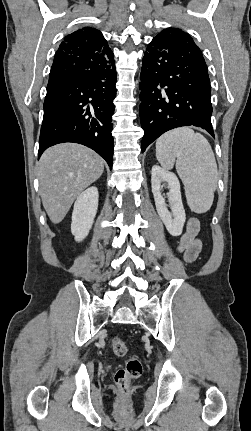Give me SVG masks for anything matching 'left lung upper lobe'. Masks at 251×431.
<instances>
[{
	"instance_id": "obj_1",
	"label": "left lung upper lobe",
	"mask_w": 251,
	"mask_h": 431,
	"mask_svg": "<svg viewBox=\"0 0 251 431\" xmlns=\"http://www.w3.org/2000/svg\"><path fill=\"white\" fill-rule=\"evenodd\" d=\"M161 33L162 34H168L170 36H174L177 38H183L185 36H188V34L183 32L182 30L176 29V28H167V29H164Z\"/></svg>"
}]
</instances>
